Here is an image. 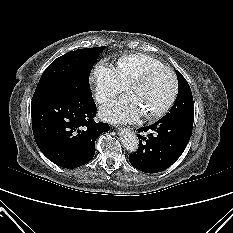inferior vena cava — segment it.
Returning <instances> with one entry per match:
<instances>
[{
	"instance_id": "obj_1",
	"label": "inferior vena cava",
	"mask_w": 233,
	"mask_h": 233,
	"mask_svg": "<svg viewBox=\"0 0 233 233\" xmlns=\"http://www.w3.org/2000/svg\"><path fill=\"white\" fill-rule=\"evenodd\" d=\"M95 97H96L97 102L102 103L106 101L110 97V95L107 93L98 92L96 93Z\"/></svg>"
}]
</instances>
